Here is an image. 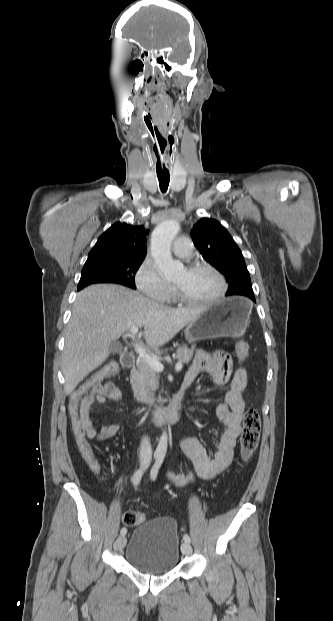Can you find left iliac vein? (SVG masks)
Instances as JSON below:
<instances>
[{"label":"left iliac vein","instance_id":"obj_1","mask_svg":"<svg viewBox=\"0 0 333 621\" xmlns=\"http://www.w3.org/2000/svg\"><path fill=\"white\" fill-rule=\"evenodd\" d=\"M181 552L184 555H190L192 553V547L189 543L184 542L181 544Z\"/></svg>","mask_w":333,"mask_h":621}]
</instances>
